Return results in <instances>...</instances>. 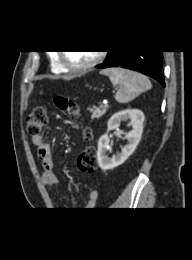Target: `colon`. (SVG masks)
<instances>
[{
    "instance_id": "obj_1",
    "label": "colon",
    "mask_w": 192,
    "mask_h": 260,
    "mask_svg": "<svg viewBox=\"0 0 192 260\" xmlns=\"http://www.w3.org/2000/svg\"><path fill=\"white\" fill-rule=\"evenodd\" d=\"M54 105L60 110L77 115L78 107L75 102L64 96H56L53 99ZM47 124V113L43 107H37L27 117L26 128L32 137L39 136L42 129ZM86 138H90V132L85 131ZM97 158L95 149L91 146L86 147L78 157V168L83 172H93L96 168Z\"/></svg>"
}]
</instances>
